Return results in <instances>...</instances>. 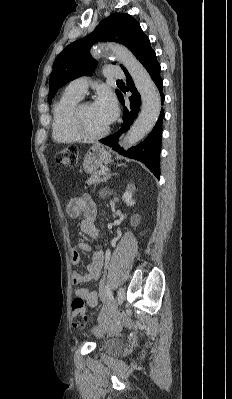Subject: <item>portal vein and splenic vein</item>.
Here are the masks:
<instances>
[{
    "label": "portal vein and splenic vein",
    "instance_id": "1",
    "mask_svg": "<svg viewBox=\"0 0 232 399\" xmlns=\"http://www.w3.org/2000/svg\"><path fill=\"white\" fill-rule=\"evenodd\" d=\"M105 172H108V170H99V174H101V176L102 174H105Z\"/></svg>",
    "mask_w": 232,
    "mask_h": 399
}]
</instances>
